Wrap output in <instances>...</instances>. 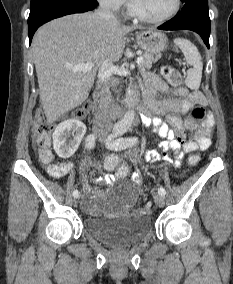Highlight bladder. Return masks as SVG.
Instances as JSON below:
<instances>
[{"label":"bladder","instance_id":"31cf9c89","mask_svg":"<svg viewBox=\"0 0 233 284\" xmlns=\"http://www.w3.org/2000/svg\"><path fill=\"white\" fill-rule=\"evenodd\" d=\"M138 191L128 182L119 183L99 198L102 204L122 205L135 201ZM92 196L97 204V197ZM84 230L95 239L123 246L135 243L145 237L152 229V220L147 215H98L83 220Z\"/></svg>","mask_w":233,"mask_h":284}]
</instances>
